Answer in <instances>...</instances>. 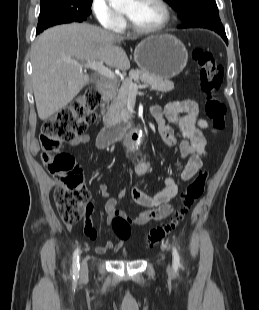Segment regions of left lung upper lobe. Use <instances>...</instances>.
Instances as JSON below:
<instances>
[{"label": "left lung upper lobe", "mask_w": 259, "mask_h": 310, "mask_svg": "<svg viewBox=\"0 0 259 310\" xmlns=\"http://www.w3.org/2000/svg\"><path fill=\"white\" fill-rule=\"evenodd\" d=\"M178 13L184 27H201L225 31L218 15L215 0H164Z\"/></svg>", "instance_id": "1"}]
</instances>
